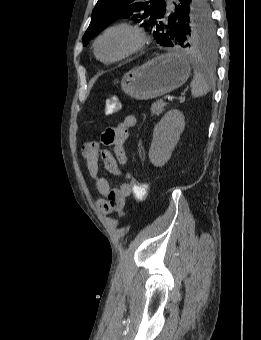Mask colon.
<instances>
[{
	"instance_id": "5ec220e1",
	"label": "colon",
	"mask_w": 261,
	"mask_h": 340,
	"mask_svg": "<svg viewBox=\"0 0 261 340\" xmlns=\"http://www.w3.org/2000/svg\"><path fill=\"white\" fill-rule=\"evenodd\" d=\"M120 109V102L117 97L113 96L108 98L105 102V111L107 114H114ZM129 185L131 186V193L138 201L146 199L149 193V187L145 183L137 181L135 178H131Z\"/></svg>"
}]
</instances>
